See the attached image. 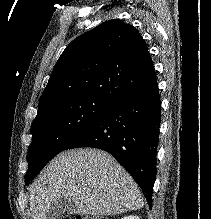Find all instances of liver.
<instances>
[{"instance_id":"6515ba94","label":"liver","mask_w":211,"mask_h":219,"mask_svg":"<svg viewBox=\"0 0 211 219\" xmlns=\"http://www.w3.org/2000/svg\"><path fill=\"white\" fill-rule=\"evenodd\" d=\"M74 202L70 213L116 215L141 209V191L115 159L105 151L85 148L58 154L31 185L32 219H47L59 199Z\"/></svg>"}]
</instances>
